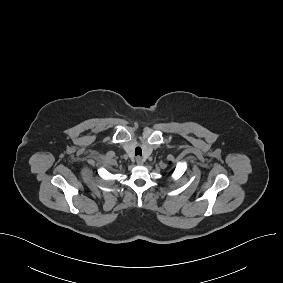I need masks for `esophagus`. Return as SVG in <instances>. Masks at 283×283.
Masks as SVG:
<instances>
[{
  "instance_id": "34e87169",
  "label": "esophagus",
  "mask_w": 283,
  "mask_h": 283,
  "mask_svg": "<svg viewBox=\"0 0 283 283\" xmlns=\"http://www.w3.org/2000/svg\"><path fill=\"white\" fill-rule=\"evenodd\" d=\"M136 164L137 165H143V159L140 156L136 157Z\"/></svg>"
}]
</instances>
